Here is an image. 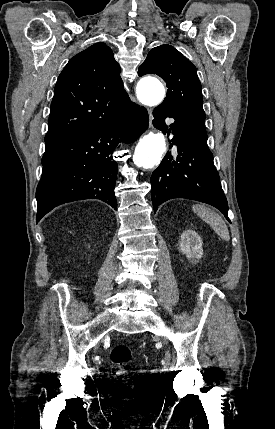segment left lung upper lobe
I'll list each match as a JSON object with an SVG mask.
<instances>
[{
    "mask_svg": "<svg viewBox=\"0 0 275 429\" xmlns=\"http://www.w3.org/2000/svg\"><path fill=\"white\" fill-rule=\"evenodd\" d=\"M149 73L166 82L167 96L160 105L205 130L201 83L195 66L174 47L163 44L153 48L139 67V76Z\"/></svg>",
    "mask_w": 275,
    "mask_h": 429,
    "instance_id": "5c2ea615",
    "label": "left lung upper lobe"
}]
</instances>
